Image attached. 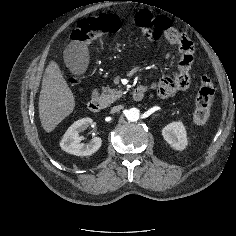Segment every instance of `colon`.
Returning <instances> with one entry per match:
<instances>
[{
	"mask_svg": "<svg viewBox=\"0 0 236 236\" xmlns=\"http://www.w3.org/2000/svg\"><path fill=\"white\" fill-rule=\"evenodd\" d=\"M135 24L140 30L142 38L146 40H158L164 38L172 43H179L184 36L172 27L170 20L163 15H153L146 10L138 12L134 18ZM122 21L115 14H101L99 16L81 19L72 32L71 38L76 42H92L104 35L116 33L121 27ZM68 81L73 86L79 85V79L70 76ZM187 81L178 84L181 90ZM214 85L208 76H203L196 95V107L194 112V123L202 126L210 118L211 108L214 100Z\"/></svg>",
	"mask_w": 236,
	"mask_h": 236,
	"instance_id": "1",
	"label": "colon"
}]
</instances>
